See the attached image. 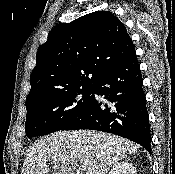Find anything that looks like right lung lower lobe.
Instances as JSON below:
<instances>
[{"label":"right lung lower lobe","instance_id":"98d812e1","mask_svg":"<svg viewBox=\"0 0 175 174\" xmlns=\"http://www.w3.org/2000/svg\"><path fill=\"white\" fill-rule=\"evenodd\" d=\"M143 80L136 54L109 68L93 86L87 108L62 130L92 129L130 139L151 153ZM94 94L106 102L96 100Z\"/></svg>","mask_w":175,"mask_h":174}]
</instances>
